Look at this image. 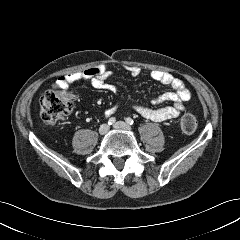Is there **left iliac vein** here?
<instances>
[{"mask_svg":"<svg viewBox=\"0 0 240 240\" xmlns=\"http://www.w3.org/2000/svg\"><path fill=\"white\" fill-rule=\"evenodd\" d=\"M114 128L116 129H122V130H127V131H130L131 128L128 124H126L125 122H122V121H118L114 124Z\"/></svg>","mask_w":240,"mask_h":240,"instance_id":"left-iliac-vein-1","label":"left iliac vein"}]
</instances>
